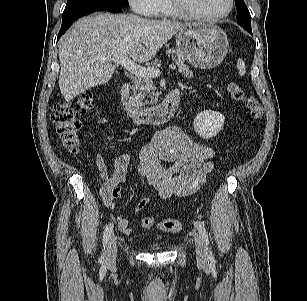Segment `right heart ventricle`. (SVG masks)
Returning <instances> with one entry per match:
<instances>
[{
	"label": "right heart ventricle",
	"instance_id": "obj_1",
	"mask_svg": "<svg viewBox=\"0 0 307 301\" xmlns=\"http://www.w3.org/2000/svg\"><path fill=\"white\" fill-rule=\"evenodd\" d=\"M161 15L164 18H173L176 17L177 15L174 14L168 7L165 1L162 2V11Z\"/></svg>",
	"mask_w": 307,
	"mask_h": 301
}]
</instances>
